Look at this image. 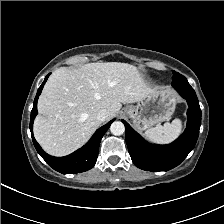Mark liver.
<instances>
[{
    "instance_id": "1",
    "label": "liver",
    "mask_w": 224,
    "mask_h": 224,
    "mask_svg": "<svg viewBox=\"0 0 224 224\" xmlns=\"http://www.w3.org/2000/svg\"><path fill=\"white\" fill-rule=\"evenodd\" d=\"M157 90L128 63L96 62L77 69L58 68L39 97L34 136L48 154L68 155L100 126L97 114L101 109L107 110L109 120L122 104L138 102Z\"/></svg>"
}]
</instances>
